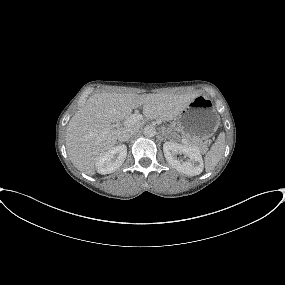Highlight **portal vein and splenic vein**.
Here are the masks:
<instances>
[{"label":"portal vein and splenic vein","mask_w":285,"mask_h":285,"mask_svg":"<svg viewBox=\"0 0 285 285\" xmlns=\"http://www.w3.org/2000/svg\"><path fill=\"white\" fill-rule=\"evenodd\" d=\"M142 119H143L142 115H140V114H132L127 119L124 120L123 124L124 125L134 124V123L140 122Z\"/></svg>","instance_id":"18ae733b"}]
</instances>
